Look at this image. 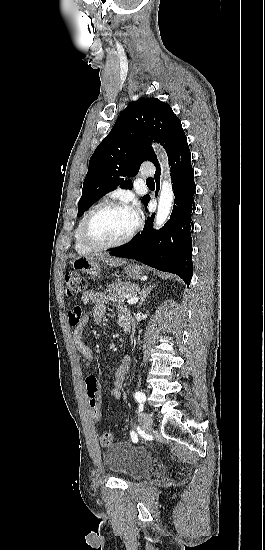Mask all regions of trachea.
<instances>
[{
  "mask_svg": "<svg viewBox=\"0 0 265 550\" xmlns=\"http://www.w3.org/2000/svg\"><path fill=\"white\" fill-rule=\"evenodd\" d=\"M153 182H154L153 178H148V179L146 180V183H153Z\"/></svg>",
  "mask_w": 265,
  "mask_h": 550,
  "instance_id": "trachea-1",
  "label": "trachea"
}]
</instances>
